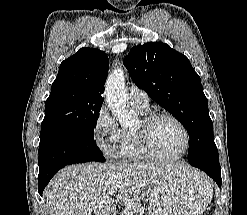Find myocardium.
Wrapping results in <instances>:
<instances>
[{"label":"myocardium","mask_w":247,"mask_h":215,"mask_svg":"<svg viewBox=\"0 0 247 215\" xmlns=\"http://www.w3.org/2000/svg\"><path fill=\"white\" fill-rule=\"evenodd\" d=\"M161 119H170L175 122L182 130L184 134V148L182 152L176 156H165L156 151L154 148L152 137H151V129L153 125ZM137 137L139 139L140 145L146 155L152 159L157 161H175L179 160L185 156L190 147V133L187 129L186 125L175 115L167 112H159L152 113L146 116L142 122L140 127L136 130Z\"/></svg>","instance_id":"obj_1"}]
</instances>
